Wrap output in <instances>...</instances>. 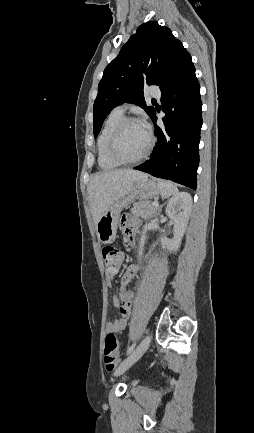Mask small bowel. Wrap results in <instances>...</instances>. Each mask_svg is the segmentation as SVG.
<instances>
[{"instance_id": "small-bowel-1", "label": "small bowel", "mask_w": 254, "mask_h": 433, "mask_svg": "<svg viewBox=\"0 0 254 433\" xmlns=\"http://www.w3.org/2000/svg\"><path fill=\"white\" fill-rule=\"evenodd\" d=\"M138 226L139 223L137 220L128 219L125 217L121 220V228L128 240L134 239L138 231ZM141 269L142 268L140 265L133 264L129 266L124 272L121 279L119 294L113 297V305L119 308L121 317L118 319L107 320L105 324L106 329L114 332H120L128 326L131 316L133 293L131 291H128L126 287L131 281V279H133L141 271ZM115 274H108L109 284H111V280L115 276Z\"/></svg>"}]
</instances>
